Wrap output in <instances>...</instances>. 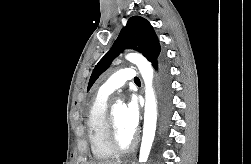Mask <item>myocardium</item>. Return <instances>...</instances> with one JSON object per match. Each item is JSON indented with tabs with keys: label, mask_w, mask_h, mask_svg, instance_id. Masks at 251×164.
<instances>
[{
	"label": "myocardium",
	"mask_w": 251,
	"mask_h": 164,
	"mask_svg": "<svg viewBox=\"0 0 251 164\" xmlns=\"http://www.w3.org/2000/svg\"><path fill=\"white\" fill-rule=\"evenodd\" d=\"M107 126H108V140L111 147L116 153H127L132 151L136 147L138 143V136L136 134H133L128 144L124 145L120 142L117 125L113 114V109L108 110Z\"/></svg>",
	"instance_id": "1"
}]
</instances>
